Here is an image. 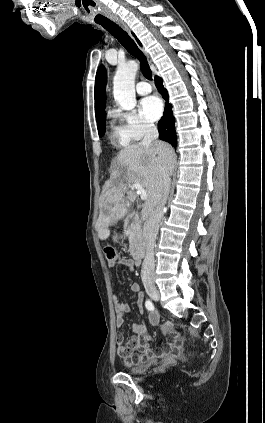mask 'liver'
I'll return each mask as SVG.
<instances>
[{
    "label": "liver",
    "instance_id": "1",
    "mask_svg": "<svg viewBox=\"0 0 265 423\" xmlns=\"http://www.w3.org/2000/svg\"><path fill=\"white\" fill-rule=\"evenodd\" d=\"M143 146L140 143L123 148L117 155L111 170L110 179L105 183L100 199L101 213L96 223L98 238L106 240L110 235L109 226L122 219L135 202L137 193L126 184H140L147 193L142 207L141 220L145 221L154 211L162 181V165L168 161L173 169L175 154L172 147L160 142Z\"/></svg>",
    "mask_w": 265,
    "mask_h": 423
}]
</instances>
